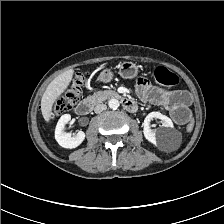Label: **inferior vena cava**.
Here are the masks:
<instances>
[{
	"label": "inferior vena cava",
	"mask_w": 224,
	"mask_h": 224,
	"mask_svg": "<svg viewBox=\"0 0 224 224\" xmlns=\"http://www.w3.org/2000/svg\"><path fill=\"white\" fill-rule=\"evenodd\" d=\"M107 109V106L105 105V104H98L96 107H95V109H94V111H95V113H100V112H102V111H104V110H106Z\"/></svg>",
	"instance_id": "obj_1"
}]
</instances>
